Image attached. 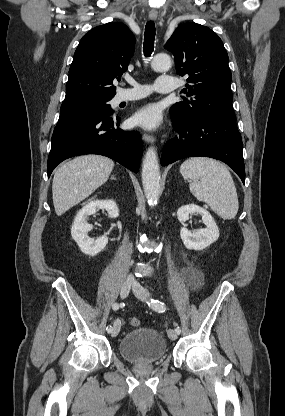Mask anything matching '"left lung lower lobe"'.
<instances>
[{"instance_id": "1", "label": "left lung lower lobe", "mask_w": 285, "mask_h": 416, "mask_svg": "<svg viewBox=\"0 0 285 416\" xmlns=\"http://www.w3.org/2000/svg\"><path fill=\"white\" fill-rule=\"evenodd\" d=\"M173 126L177 135L163 149V166L187 157H211L225 162L245 182L242 139L234 114L204 115Z\"/></svg>"}]
</instances>
